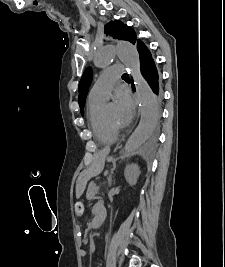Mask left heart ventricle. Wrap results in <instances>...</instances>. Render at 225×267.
<instances>
[{
	"mask_svg": "<svg viewBox=\"0 0 225 267\" xmlns=\"http://www.w3.org/2000/svg\"><path fill=\"white\" fill-rule=\"evenodd\" d=\"M105 118L113 125L119 126L116 120V110L114 108H110L105 112Z\"/></svg>",
	"mask_w": 225,
	"mask_h": 267,
	"instance_id": "1",
	"label": "left heart ventricle"
}]
</instances>
